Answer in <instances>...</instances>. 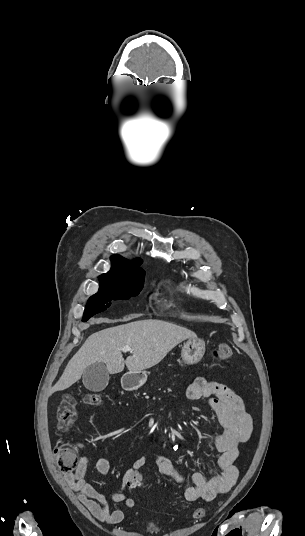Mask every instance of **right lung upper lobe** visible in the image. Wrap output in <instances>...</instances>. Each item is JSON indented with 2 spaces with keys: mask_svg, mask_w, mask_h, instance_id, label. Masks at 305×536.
<instances>
[{
  "mask_svg": "<svg viewBox=\"0 0 305 536\" xmlns=\"http://www.w3.org/2000/svg\"><path fill=\"white\" fill-rule=\"evenodd\" d=\"M111 270L99 276L102 281H130L144 279L145 271L140 268L142 261L134 259L127 260L119 255L111 257Z\"/></svg>",
  "mask_w": 305,
  "mask_h": 536,
  "instance_id": "right-lung-upper-lobe-1",
  "label": "right lung upper lobe"
}]
</instances>
